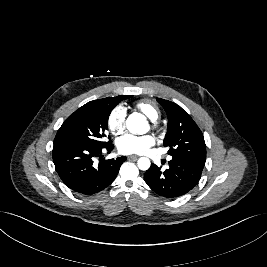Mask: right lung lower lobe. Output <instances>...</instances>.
I'll use <instances>...</instances> for the list:
<instances>
[{
  "label": "right lung lower lobe",
  "mask_w": 267,
  "mask_h": 267,
  "mask_svg": "<svg viewBox=\"0 0 267 267\" xmlns=\"http://www.w3.org/2000/svg\"><path fill=\"white\" fill-rule=\"evenodd\" d=\"M114 146L87 147L58 145L53 147V162L61 180L74 192L91 195L98 193L116 178L125 156L102 160L98 166L93 158L100 156L102 150L112 151Z\"/></svg>",
  "instance_id": "98d812e1"
}]
</instances>
